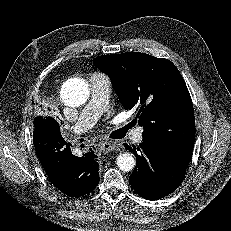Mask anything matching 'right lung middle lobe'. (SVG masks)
Returning a JSON list of instances; mask_svg holds the SVG:
<instances>
[{"label": "right lung middle lobe", "instance_id": "right-lung-middle-lobe-1", "mask_svg": "<svg viewBox=\"0 0 231 231\" xmlns=\"http://www.w3.org/2000/svg\"><path fill=\"white\" fill-rule=\"evenodd\" d=\"M42 120H43V118H36V119L34 120V125L39 124Z\"/></svg>", "mask_w": 231, "mask_h": 231}]
</instances>
